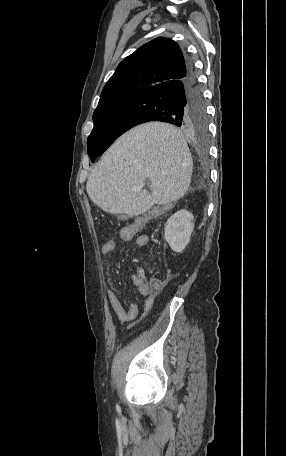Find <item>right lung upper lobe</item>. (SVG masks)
Listing matches in <instances>:
<instances>
[{
  "instance_id": "obj_1",
  "label": "right lung upper lobe",
  "mask_w": 286,
  "mask_h": 456,
  "mask_svg": "<svg viewBox=\"0 0 286 456\" xmlns=\"http://www.w3.org/2000/svg\"><path fill=\"white\" fill-rule=\"evenodd\" d=\"M187 63L178 44L156 38L125 58L102 90L97 109L184 76Z\"/></svg>"
}]
</instances>
